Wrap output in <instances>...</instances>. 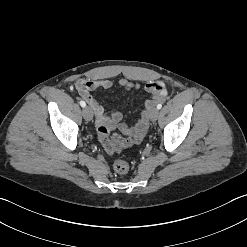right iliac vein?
I'll list each match as a JSON object with an SVG mask.
<instances>
[{"instance_id": "63e3f726", "label": "right iliac vein", "mask_w": 247, "mask_h": 247, "mask_svg": "<svg viewBox=\"0 0 247 247\" xmlns=\"http://www.w3.org/2000/svg\"><path fill=\"white\" fill-rule=\"evenodd\" d=\"M83 117L87 121H90L93 118V111L89 106L83 109Z\"/></svg>"}]
</instances>
